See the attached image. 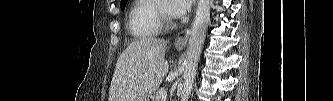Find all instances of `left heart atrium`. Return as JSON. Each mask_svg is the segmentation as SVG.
Instances as JSON below:
<instances>
[{
	"mask_svg": "<svg viewBox=\"0 0 333 101\" xmlns=\"http://www.w3.org/2000/svg\"><path fill=\"white\" fill-rule=\"evenodd\" d=\"M191 3V0H172L168 12L173 16H181L189 10Z\"/></svg>",
	"mask_w": 333,
	"mask_h": 101,
	"instance_id": "39dd6f15",
	"label": "left heart atrium"
}]
</instances>
